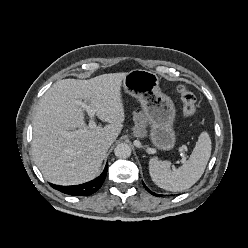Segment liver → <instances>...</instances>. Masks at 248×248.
Returning <instances> with one entry per match:
<instances>
[{
	"label": "liver",
	"instance_id": "liver-1",
	"mask_svg": "<svg viewBox=\"0 0 248 248\" xmlns=\"http://www.w3.org/2000/svg\"><path fill=\"white\" fill-rule=\"evenodd\" d=\"M127 73L102 74L89 80L64 79L42 96L32 126V153L44 178L57 185H76L94 179L107 149L100 141H115L125 119L121 85ZM96 110L109 124L90 128L78 101ZM82 131L75 136L66 133Z\"/></svg>",
	"mask_w": 248,
	"mask_h": 248
}]
</instances>
